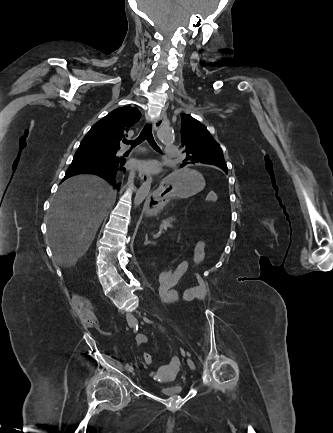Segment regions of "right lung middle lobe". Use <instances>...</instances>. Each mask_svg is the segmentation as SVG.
<instances>
[{
	"label": "right lung middle lobe",
	"mask_w": 333,
	"mask_h": 433,
	"mask_svg": "<svg viewBox=\"0 0 333 433\" xmlns=\"http://www.w3.org/2000/svg\"><path fill=\"white\" fill-rule=\"evenodd\" d=\"M75 156L106 159L116 158V152L98 149L90 145L81 144L76 151Z\"/></svg>",
	"instance_id": "obj_1"
}]
</instances>
